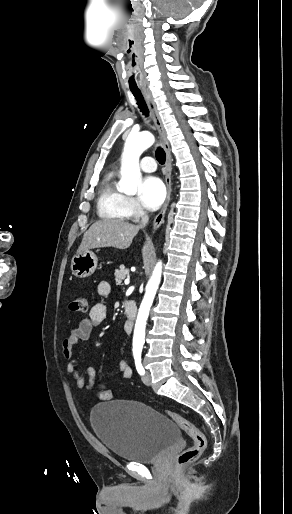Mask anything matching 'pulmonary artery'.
<instances>
[{
	"instance_id": "pulmonary-artery-1",
	"label": "pulmonary artery",
	"mask_w": 292,
	"mask_h": 514,
	"mask_svg": "<svg viewBox=\"0 0 292 514\" xmlns=\"http://www.w3.org/2000/svg\"><path fill=\"white\" fill-rule=\"evenodd\" d=\"M141 169L143 172H154L157 169L156 160L153 157H144Z\"/></svg>"
}]
</instances>
